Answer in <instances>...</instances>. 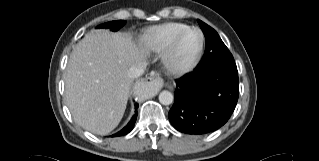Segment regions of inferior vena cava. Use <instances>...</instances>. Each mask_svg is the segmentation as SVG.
I'll return each mask as SVG.
<instances>
[{"label":"inferior vena cava","instance_id":"obj_1","mask_svg":"<svg viewBox=\"0 0 319 161\" xmlns=\"http://www.w3.org/2000/svg\"><path fill=\"white\" fill-rule=\"evenodd\" d=\"M145 69H146V63H140L138 65L132 66L128 72L129 77L137 78L145 72Z\"/></svg>","mask_w":319,"mask_h":161}]
</instances>
